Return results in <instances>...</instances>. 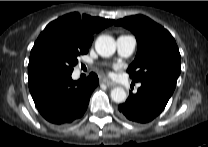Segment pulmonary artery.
<instances>
[{
  "instance_id": "obj_1",
  "label": "pulmonary artery",
  "mask_w": 208,
  "mask_h": 147,
  "mask_svg": "<svg viewBox=\"0 0 208 147\" xmlns=\"http://www.w3.org/2000/svg\"><path fill=\"white\" fill-rule=\"evenodd\" d=\"M117 51L121 57H129L136 48V39L132 35H120L117 40Z\"/></svg>"
}]
</instances>
